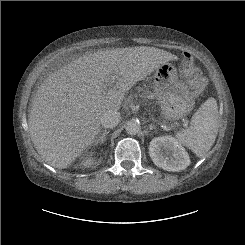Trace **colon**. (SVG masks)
Returning <instances> with one entry per match:
<instances>
[{
  "instance_id": "obj_1",
  "label": "colon",
  "mask_w": 245,
  "mask_h": 245,
  "mask_svg": "<svg viewBox=\"0 0 245 245\" xmlns=\"http://www.w3.org/2000/svg\"><path fill=\"white\" fill-rule=\"evenodd\" d=\"M180 74L187 83L193 96L198 97L205 91L208 80L202 71L196 66L193 56L189 52H183L180 62Z\"/></svg>"
}]
</instances>
